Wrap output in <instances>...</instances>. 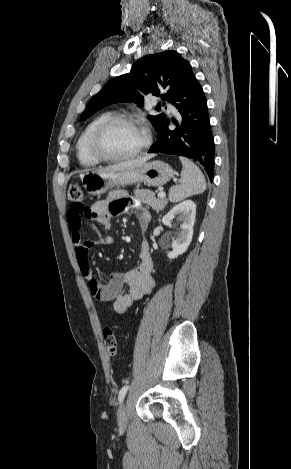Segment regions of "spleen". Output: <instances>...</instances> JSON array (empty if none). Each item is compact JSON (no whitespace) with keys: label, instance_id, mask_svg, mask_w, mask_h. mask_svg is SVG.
Instances as JSON below:
<instances>
[{"label":"spleen","instance_id":"3e777b00","mask_svg":"<svg viewBox=\"0 0 291 469\" xmlns=\"http://www.w3.org/2000/svg\"><path fill=\"white\" fill-rule=\"evenodd\" d=\"M183 165L181 184L170 188L169 200L179 202L192 195L201 194L206 190V181L201 170L190 160L180 157Z\"/></svg>","mask_w":291,"mask_h":469}]
</instances>
